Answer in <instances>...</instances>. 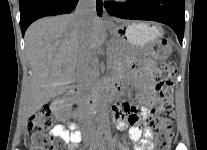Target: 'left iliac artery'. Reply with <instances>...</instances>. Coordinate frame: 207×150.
<instances>
[{
	"mask_svg": "<svg viewBox=\"0 0 207 150\" xmlns=\"http://www.w3.org/2000/svg\"><path fill=\"white\" fill-rule=\"evenodd\" d=\"M105 134H106L107 140L111 141V134H110L109 130H106ZM124 150H126V149H124Z\"/></svg>",
	"mask_w": 207,
	"mask_h": 150,
	"instance_id": "1",
	"label": "left iliac artery"
}]
</instances>
